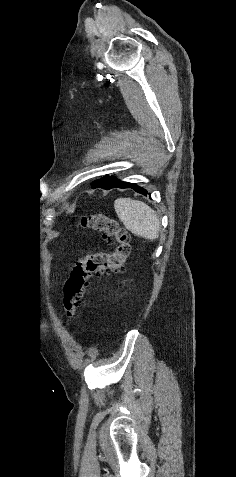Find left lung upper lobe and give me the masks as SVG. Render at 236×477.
Wrapping results in <instances>:
<instances>
[{
  "mask_svg": "<svg viewBox=\"0 0 236 477\" xmlns=\"http://www.w3.org/2000/svg\"><path fill=\"white\" fill-rule=\"evenodd\" d=\"M124 181H121L115 177H110V176H106L104 178H102L101 180H97L95 182L92 183V187L93 188H103V189H111L112 187H114L116 184L118 183H122Z\"/></svg>",
  "mask_w": 236,
  "mask_h": 477,
  "instance_id": "obj_1",
  "label": "left lung upper lobe"
}]
</instances>
